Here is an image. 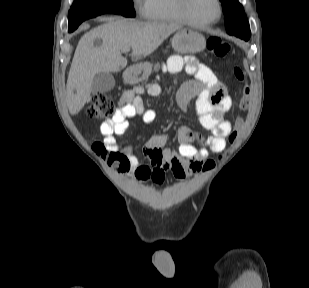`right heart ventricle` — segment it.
Masks as SVG:
<instances>
[{
    "label": "right heart ventricle",
    "mask_w": 309,
    "mask_h": 288,
    "mask_svg": "<svg viewBox=\"0 0 309 288\" xmlns=\"http://www.w3.org/2000/svg\"><path fill=\"white\" fill-rule=\"evenodd\" d=\"M145 18L172 24H186L180 12L178 0H145L143 11Z\"/></svg>",
    "instance_id": "1"
}]
</instances>
